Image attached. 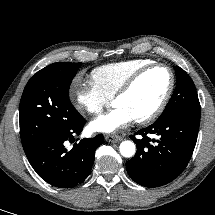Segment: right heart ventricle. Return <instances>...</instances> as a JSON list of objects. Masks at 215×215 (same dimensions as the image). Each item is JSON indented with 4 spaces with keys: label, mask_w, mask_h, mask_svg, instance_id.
Instances as JSON below:
<instances>
[{
    "label": "right heart ventricle",
    "mask_w": 215,
    "mask_h": 215,
    "mask_svg": "<svg viewBox=\"0 0 215 215\" xmlns=\"http://www.w3.org/2000/svg\"><path fill=\"white\" fill-rule=\"evenodd\" d=\"M152 63L150 59H133L105 64L91 72V81L111 99L134 73Z\"/></svg>",
    "instance_id": "obj_1"
}]
</instances>
